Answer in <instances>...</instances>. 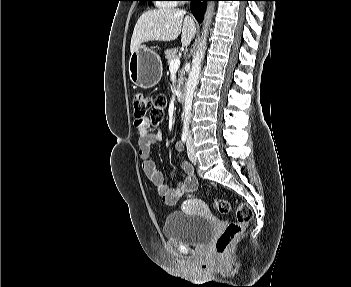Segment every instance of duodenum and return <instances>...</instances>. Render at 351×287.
I'll return each instance as SVG.
<instances>
[{"instance_id":"410a0bca","label":"duodenum","mask_w":351,"mask_h":287,"mask_svg":"<svg viewBox=\"0 0 351 287\" xmlns=\"http://www.w3.org/2000/svg\"><path fill=\"white\" fill-rule=\"evenodd\" d=\"M176 97H177V100L179 102H182L183 101V98H184V93H183V89L182 88H178L177 91H176Z\"/></svg>"}]
</instances>
